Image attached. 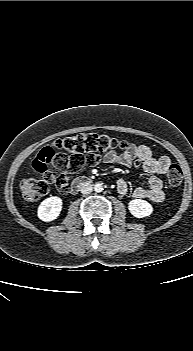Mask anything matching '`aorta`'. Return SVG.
<instances>
[{"mask_svg": "<svg viewBox=\"0 0 193 351\" xmlns=\"http://www.w3.org/2000/svg\"><path fill=\"white\" fill-rule=\"evenodd\" d=\"M94 191L97 193H100L103 191V184L102 183H96L94 185Z\"/></svg>", "mask_w": 193, "mask_h": 351, "instance_id": "1", "label": "aorta"}]
</instances>
